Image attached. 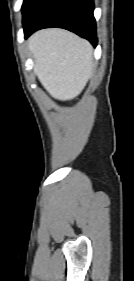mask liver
<instances>
[{"instance_id":"1","label":"liver","mask_w":134,"mask_h":281,"mask_svg":"<svg viewBox=\"0 0 134 281\" xmlns=\"http://www.w3.org/2000/svg\"><path fill=\"white\" fill-rule=\"evenodd\" d=\"M34 72L55 99L77 97L88 82L93 68L91 44L63 29H44L29 39Z\"/></svg>"}]
</instances>
